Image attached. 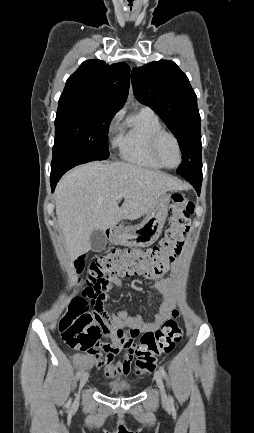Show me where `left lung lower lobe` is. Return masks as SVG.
<instances>
[{
    "instance_id": "obj_1",
    "label": "left lung lower lobe",
    "mask_w": 254,
    "mask_h": 433,
    "mask_svg": "<svg viewBox=\"0 0 254 433\" xmlns=\"http://www.w3.org/2000/svg\"><path fill=\"white\" fill-rule=\"evenodd\" d=\"M182 177L185 178L188 182H190L194 186L198 195H200L202 176L187 174V175H182Z\"/></svg>"
}]
</instances>
